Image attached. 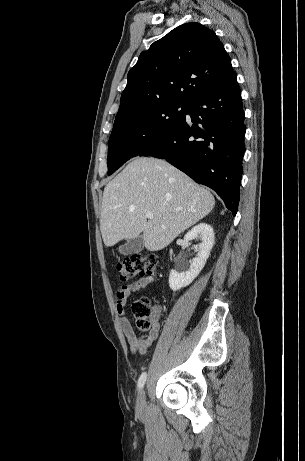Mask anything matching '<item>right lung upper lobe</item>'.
<instances>
[{"instance_id":"obj_1","label":"right lung upper lobe","mask_w":305,"mask_h":461,"mask_svg":"<svg viewBox=\"0 0 305 461\" xmlns=\"http://www.w3.org/2000/svg\"><path fill=\"white\" fill-rule=\"evenodd\" d=\"M234 73L212 30L197 22L182 24L141 53L128 73L115 122L166 103L189 104Z\"/></svg>"}]
</instances>
